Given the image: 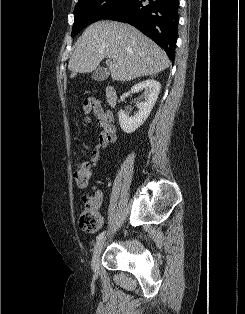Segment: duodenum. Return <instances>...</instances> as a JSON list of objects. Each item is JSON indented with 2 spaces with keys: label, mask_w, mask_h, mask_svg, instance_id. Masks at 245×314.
<instances>
[{
  "label": "duodenum",
  "mask_w": 245,
  "mask_h": 314,
  "mask_svg": "<svg viewBox=\"0 0 245 314\" xmlns=\"http://www.w3.org/2000/svg\"><path fill=\"white\" fill-rule=\"evenodd\" d=\"M106 103L110 107H114L117 103V90L114 86H108L105 90Z\"/></svg>",
  "instance_id": "1"
}]
</instances>
